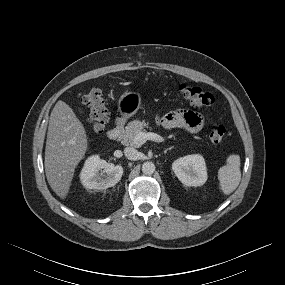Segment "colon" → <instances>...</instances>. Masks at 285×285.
Masks as SVG:
<instances>
[{"label": "colon", "instance_id": "1", "mask_svg": "<svg viewBox=\"0 0 285 285\" xmlns=\"http://www.w3.org/2000/svg\"><path fill=\"white\" fill-rule=\"evenodd\" d=\"M179 93L184 100L195 108L210 106L214 102L211 93L199 88L181 85ZM81 101L89 108L87 121L94 131L101 132L109 118V112L101 90L97 88L90 89L85 93ZM227 128L223 124L213 125L209 131V139L212 144H219L225 138Z\"/></svg>", "mask_w": 285, "mask_h": 285}]
</instances>
